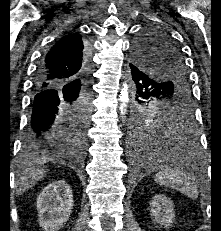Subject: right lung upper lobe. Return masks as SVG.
I'll return each mask as SVG.
<instances>
[{
    "label": "right lung upper lobe",
    "mask_w": 221,
    "mask_h": 231,
    "mask_svg": "<svg viewBox=\"0 0 221 231\" xmlns=\"http://www.w3.org/2000/svg\"><path fill=\"white\" fill-rule=\"evenodd\" d=\"M39 71V86L80 81L91 71L86 47L78 34L60 39L46 54ZM37 77V76H36Z\"/></svg>",
    "instance_id": "cb5924a9"
}]
</instances>
